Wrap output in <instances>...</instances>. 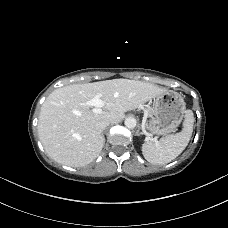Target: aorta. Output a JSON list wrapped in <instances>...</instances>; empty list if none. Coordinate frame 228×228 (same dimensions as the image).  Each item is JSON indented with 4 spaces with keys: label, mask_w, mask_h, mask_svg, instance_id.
Instances as JSON below:
<instances>
[{
    "label": "aorta",
    "mask_w": 228,
    "mask_h": 228,
    "mask_svg": "<svg viewBox=\"0 0 228 228\" xmlns=\"http://www.w3.org/2000/svg\"><path fill=\"white\" fill-rule=\"evenodd\" d=\"M124 123H125V126L127 128L133 129V128H135L137 122H136V119L135 118L128 117V118L125 119V122Z\"/></svg>",
    "instance_id": "aorta-1"
}]
</instances>
